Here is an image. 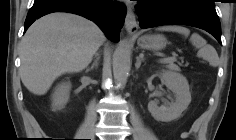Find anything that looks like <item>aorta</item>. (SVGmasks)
Segmentation results:
<instances>
[{"label": "aorta", "mask_w": 236, "mask_h": 140, "mask_svg": "<svg viewBox=\"0 0 236 140\" xmlns=\"http://www.w3.org/2000/svg\"><path fill=\"white\" fill-rule=\"evenodd\" d=\"M131 45L127 40L119 42L113 55V74L118 82L126 79L130 68Z\"/></svg>", "instance_id": "aorta-1"}]
</instances>
